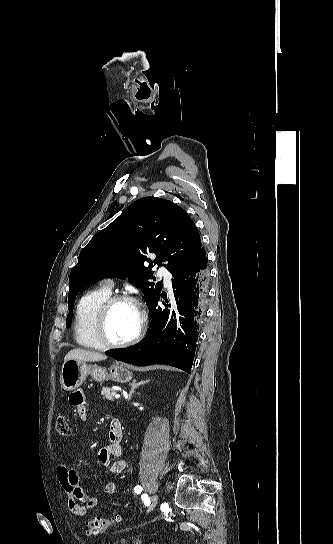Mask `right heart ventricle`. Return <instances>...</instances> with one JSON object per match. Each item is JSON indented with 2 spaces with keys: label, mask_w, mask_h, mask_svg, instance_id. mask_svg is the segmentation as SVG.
Returning a JSON list of instances; mask_svg holds the SVG:
<instances>
[{
  "label": "right heart ventricle",
  "mask_w": 333,
  "mask_h": 544,
  "mask_svg": "<svg viewBox=\"0 0 333 544\" xmlns=\"http://www.w3.org/2000/svg\"><path fill=\"white\" fill-rule=\"evenodd\" d=\"M110 295L111 289L100 286L87 291L79 299L73 325L74 338L78 345L90 349L103 348L94 334V320L97 310Z\"/></svg>",
  "instance_id": "obj_1"
}]
</instances>
